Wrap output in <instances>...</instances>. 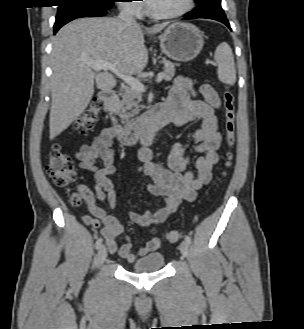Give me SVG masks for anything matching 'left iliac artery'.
<instances>
[{
	"label": "left iliac artery",
	"instance_id": "obj_1",
	"mask_svg": "<svg viewBox=\"0 0 304 329\" xmlns=\"http://www.w3.org/2000/svg\"><path fill=\"white\" fill-rule=\"evenodd\" d=\"M185 241L188 243V244H190L191 243V237L190 236H188V235H186L185 236Z\"/></svg>",
	"mask_w": 304,
	"mask_h": 329
}]
</instances>
